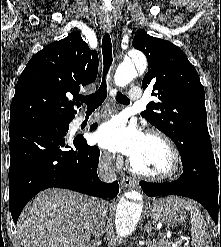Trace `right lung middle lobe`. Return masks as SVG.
I'll return each mask as SVG.
<instances>
[{"instance_id": "right-lung-middle-lobe-1", "label": "right lung middle lobe", "mask_w": 221, "mask_h": 247, "mask_svg": "<svg viewBox=\"0 0 221 247\" xmlns=\"http://www.w3.org/2000/svg\"><path fill=\"white\" fill-rule=\"evenodd\" d=\"M68 124H69V122L68 123L47 124V125L56 127L58 129H61V130H66L69 128Z\"/></svg>"}]
</instances>
